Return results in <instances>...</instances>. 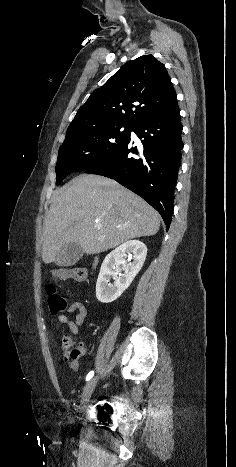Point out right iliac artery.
I'll use <instances>...</instances> for the list:
<instances>
[{
    "label": "right iliac artery",
    "instance_id": "82829eb1",
    "mask_svg": "<svg viewBox=\"0 0 236 467\" xmlns=\"http://www.w3.org/2000/svg\"><path fill=\"white\" fill-rule=\"evenodd\" d=\"M94 376V371H90L86 376V381H89Z\"/></svg>",
    "mask_w": 236,
    "mask_h": 467
}]
</instances>
